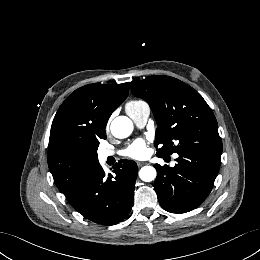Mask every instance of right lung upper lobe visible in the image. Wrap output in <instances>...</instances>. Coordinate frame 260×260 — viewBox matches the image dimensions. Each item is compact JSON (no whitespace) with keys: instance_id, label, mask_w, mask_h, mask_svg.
Instances as JSON below:
<instances>
[{"instance_id":"obj_1","label":"right lung upper lobe","mask_w":260,"mask_h":260,"mask_svg":"<svg viewBox=\"0 0 260 260\" xmlns=\"http://www.w3.org/2000/svg\"><path fill=\"white\" fill-rule=\"evenodd\" d=\"M129 83L89 84L58 109L50 132L48 165L65 196L98 165L97 143L112 112L126 99Z\"/></svg>"}]
</instances>
